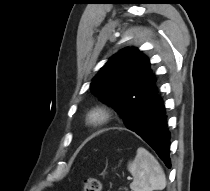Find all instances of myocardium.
Wrapping results in <instances>:
<instances>
[{
    "label": "myocardium",
    "mask_w": 210,
    "mask_h": 191,
    "mask_svg": "<svg viewBox=\"0 0 210 191\" xmlns=\"http://www.w3.org/2000/svg\"><path fill=\"white\" fill-rule=\"evenodd\" d=\"M115 110L108 104L100 103L92 106L85 114V125L90 129L103 128L115 119Z\"/></svg>",
    "instance_id": "myocardium-1"
}]
</instances>
